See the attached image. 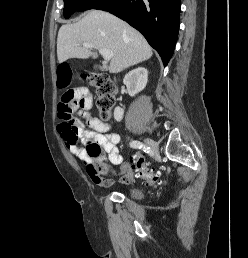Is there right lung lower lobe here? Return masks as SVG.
I'll list each match as a JSON object with an SVG mask.
<instances>
[{
    "instance_id": "right-lung-lower-lobe-1",
    "label": "right lung lower lobe",
    "mask_w": 248,
    "mask_h": 258,
    "mask_svg": "<svg viewBox=\"0 0 248 258\" xmlns=\"http://www.w3.org/2000/svg\"><path fill=\"white\" fill-rule=\"evenodd\" d=\"M181 0H108L94 9L108 11L140 31L166 66L180 23Z\"/></svg>"
}]
</instances>
